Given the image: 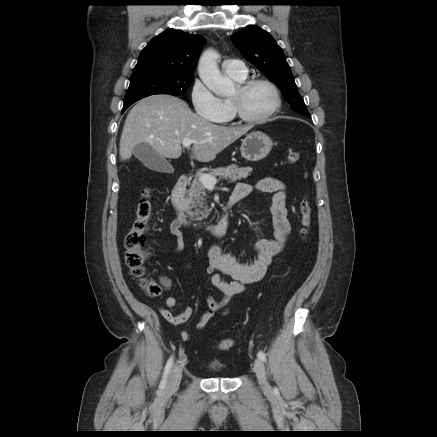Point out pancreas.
Segmentation results:
<instances>
[{"label": "pancreas", "mask_w": 437, "mask_h": 437, "mask_svg": "<svg viewBox=\"0 0 437 437\" xmlns=\"http://www.w3.org/2000/svg\"><path fill=\"white\" fill-rule=\"evenodd\" d=\"M251 171L252 168L250 167L239 168L237 165L232 164L227 167L212 169L208 175L228 179L229 182H236L237 180L247 178ZM206 197L205 186L200 182L199 177L194 178L186 196L188 204L187 213L191 216L192 220L202 221L208 217L211 210L207 206Z\"/></svg>", "instance_id": "cf45deb5"}]
</instances>
